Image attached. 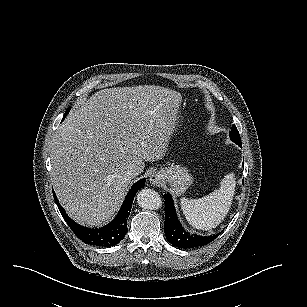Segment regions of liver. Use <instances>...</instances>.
Returning <instances> with one entry per match:
<instances>
[{
  "label": "liver",
  "instance_id": "liver-1",
  "mask_svg": "<svg viewBox=\"0 0 307 307\" xmlns=\"http://www.w3.org/2000/svg\"><path fill=\"white\" fill-rule=\"evenodd\" d=\"M179 92L155 85L102 89L59 126L51 151L56 196L69 217L102 226L118 212L145 162L165 156L178 123Z\"/></svg>",
  "mask_w": 307,
  "mask_h": 307
}]
</instances>
